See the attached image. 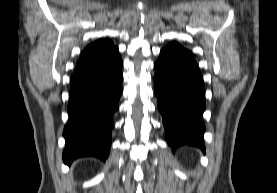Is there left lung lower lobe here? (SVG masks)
I'll return each mask as SVG.
<instances>
[{
	"instance_id": "obj_1",
	"label": "left lung lower lobe",
	"mask_w": 277,
	"mask_h": 193,
	"mask_svg": "<svg viewBox=\"0 0 277 193\" xmlns=\"http://www.w3.org/2000/svg\"><path fill=\"white\" fill-rule=\"evenodd\" d=\"M154 81L169 146L173 151L184 144L204 150L205 87L192 53L170 43L155 63Z\"/></svg>"
}]
</instances>
